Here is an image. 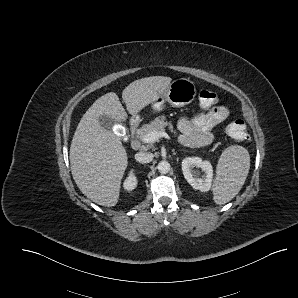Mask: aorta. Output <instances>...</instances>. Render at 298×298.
Masks as SVG:
<instances>
[{"mask_svg":"<svg viewBox=\"0 0 298 298\" xmlns=\"http://www.w3.org/2000/svg\"><path fill=\"white\" fill-rule=\"evenodd\" d=\"M157 169L162 174L168 173L171 169V164L167 160H161L157 164Z\"/></svg>","mask_w":298,"mask_h":298,"instance_id":"aorta-1","label":"aorta"}]
</instances>
